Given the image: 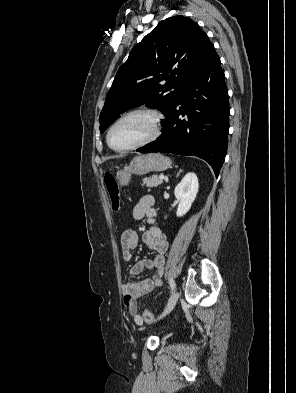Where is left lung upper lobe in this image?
I'll use <instances>...</instances> for the list:
<instances>
[{
	"instance_id": "obj_1",
	"label": "left lung upper lobe",
	"mask_w": 296,
	"mask_h": 393,
	"mask_svg": "<svg viewBox=\"0 0 296 393\" xmlns=\"http://www.w3.org/2000/svg\"><path fill=\"white\" fill-rule=\"evenodd\" d=\"M213 51L206 33L190 18L174 16L162 21L119 68L100 114V132L119 114L142 104L160 110L167 120L178 97Z\"/></svg>"
}]
</instances>
